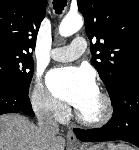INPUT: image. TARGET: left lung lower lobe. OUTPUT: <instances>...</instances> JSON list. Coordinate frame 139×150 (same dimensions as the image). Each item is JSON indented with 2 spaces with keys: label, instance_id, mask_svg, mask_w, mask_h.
I'll use <instances>...</instances> for the list:
<instances>
[{
  "label": "left lung lower lobe",
  "instance_id": "1",
  "mask_svg": "<svg viewBox=\"0 0 139 150\" xmlns=\"http://www.w3.org/2000/svg\"><path fill=\"white\" fill-rule=\"evenodd\" d=\"M113 116L101 128L74 129L84 142L126 141L139 147V70L128 75L111 98Z\"/></svg>",
  "mask_w": 139,
  "mask_h": 150
}]
</instances>
